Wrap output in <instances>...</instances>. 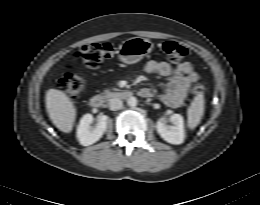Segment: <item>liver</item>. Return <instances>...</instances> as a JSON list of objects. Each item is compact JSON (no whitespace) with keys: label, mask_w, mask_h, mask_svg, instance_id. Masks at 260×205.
Here are the masks:
<instances>
[{"label":"liver","mask_w":260,"mask_h":205,"mask_svg":"<svg viewBox=\"0 0 260 205\" xmlns=\"http://www.w3.org/2000/svg\"><path fill=\"white\" fill-rule=\"evenodd\" d=\"M46 109L52 123L62 132L70 133L76 118V108L71 99L57 89L46 92Z\"/></svg>","instance_id":"6515ba94"}]
</instances>
